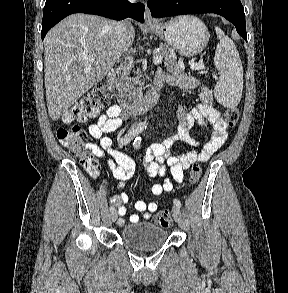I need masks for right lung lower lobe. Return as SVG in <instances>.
I'll list each match as a JSON object with an SVG mask.
<instances>
[{
    "label": "right lung lower lobe",
    "mask_w": 288,
    "mask_h": 293,
    "mask_svg": "<svg viewBox=\"0 0 288 293\" xmlns=\"http://www.w3.org/2000/svg\"><path fill=\"white\" fill-rule=\"evenodd\" d=\"M143 3L131 4L128 0H46L43 10L41 37L60 20L73 13L95 14L122 20L131 17L144 22Z\"/></svg>",
    "instance_id": "98d812e1"
}]
</instances>
